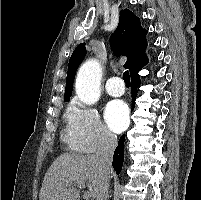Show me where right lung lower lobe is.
<instances>
[{
    "instance_id": "obj_1",
    "label": "right lung lower lobe",
    "mask_w": 201,
    "mask_h": 200,
    "mask_svg": "<svg viewBox=\"0 0 201 200\" xmlns=\"http://www.w3.org/2000/svg\"><path fill=\"white\" fill-rule=\"evenodd\" d=\"M131 88H132V109H134V105H135V99H136V94L138 92V88H139V84H140V77L138 75V72L133 73L131 75ZM124 141H125V135H123L119 142H118V146L115 149L114 155H113V168L115 169V171L117 172V174H119L121 172L122 169V165H123V161H124Z\"/></svg>"
}]
</instances>
